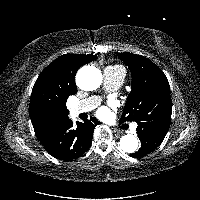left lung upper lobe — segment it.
<instances>
[{"label":"left lung upper lobe","instance_id":"5c2ea615","mask_svg":"<svg viewBox=\"0 0 200 200\" xmlns=\"http://www.w3.org/2000/svg\"><path fill=\"white\" fill-rule=\"evenodd\" d=\"M132 74V90L127 98L121 122L136 121L168 130L172 99L164 73L149 59L132 53H118Z\"/></svg>","mask_w":200,"mask_h":200}]
</instances>
